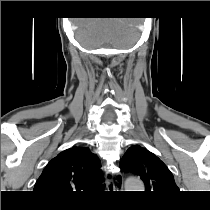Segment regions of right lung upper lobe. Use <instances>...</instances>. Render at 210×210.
Here are the masks:
<instances>
[{
	"instance_id": "obj_1",
	"label": "right lung upper lobe",
	"mask_w": 210,
	"mask_h": 210,
	"mask_svg": "<svg viewBox=\"0 0 210 210\" xmlns=\"http://www.w3.org/2000/svg\"><path fill=\"white\" fill-rule=\"evenodd\" d=\"M99 158L86 147H72L53 158L37 180L34 191L57 203L75 200L100 188L104 175Z\"/></svg>"
}]
</instances>
